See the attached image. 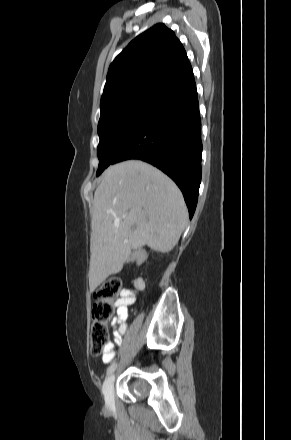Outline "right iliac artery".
I'll use <instances>...</instances> for the list:
<instances>
[{
	"instance_id": "right-iliac-artery-1",
	"label": "right iliac artery",
	"mask_w": 291,
	"mask_h": 440,
	"mask_svg": "<svg viewBox=\"0 0 291 440\" xmlns=\"http://www.w3.org/2000/svg\"><path fill=\"white\" fill-rule=\"evenodd\" d=\"M116 366V363H112L107 369V375H110L115 370Z\"/></svg>"
}]
</instances>
